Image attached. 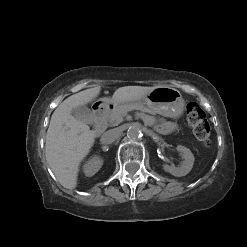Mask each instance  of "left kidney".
Returning <instances> with one entry per match:
<instances>
[{"label":"left kidney","mask_w":247,"mask_h":247,"mask_svg":"<svg viewBox=\"0 0 247 247\" xmlns=\"http://www.w3.org/2000/svg\"><path fill=\"white\" fill-rule=\"evenodd\" d=\"M176 149L180 152L182 158L184 159L182 165L180 167H175L164 164L163 170L176 177L185 176L191 171L195 159L190 149L182 145H178Z\"/></svg>","instance_id":"left-kidney-1"}]
</instances>
